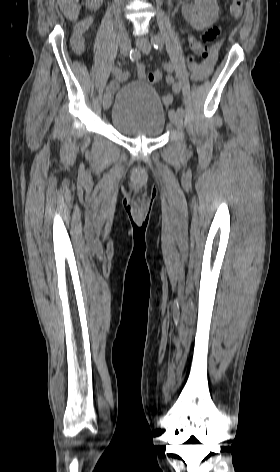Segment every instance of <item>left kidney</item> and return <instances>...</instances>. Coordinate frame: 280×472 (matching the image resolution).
I'll list each match as a JSON object with an SVG mask.
<instances>
[{"instance_id": "obj_1", "label": "left kidney", "mask_w": 280, "mask_h": 472, "mask_svg": "<svg viewBox=\"0 0 280 472\" xmlns=\"http://www.w3.org/2000/svg\"><path fill=\"white\" fill-rule=\"evenodd\" d=\"M182 13L194 29L203 30L218 19L219 7L216 0H195L194 4L184 5Z\"/></svg>"}]
</instances>
